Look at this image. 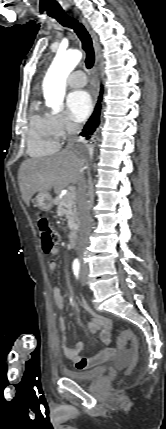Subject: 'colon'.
Returning a JSON list of instances; mask_svg holds the SVG:
<instances>
[{
    "mask_svg": "<svg viewBox=\"0 0 166 429\" xmlns=\"http://www.w3.org/2000/svg\"><path fill=\"white\" fill-rule=\"evenodd\" d=\"M38 229L42 240V249L45 253H49L54 247L59 244L60 236L51 227L48 220L44 217H40L38 219ZM129 343L132 345L133 353H135V336L131 330H124L117 338V346L123 349Z\"/></svg>",
    "mask_w": 166,
    "mask_h": 429,
    "instance_id": "colon-1",
    "label": "colon"
}]
</instances>
